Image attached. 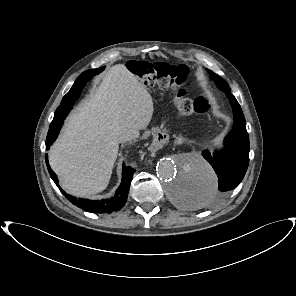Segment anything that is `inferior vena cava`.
Instances as JSON below:
<instances>
[{
    "mask_svg": "<svg viewBox=\"0 0 296 296\" xmlns=\"http://www.w3.org/2000/svg\"><path fill=\"white\" fill-rule=\"evenodd\" d=\"M137 136H138V133L135 131L124 133L119 137L118 141L119 142H127V141H130V140L136 138Z\"/></svg>",
    "mask_w": 296,
    "mask_h": 296,
    "instance_id": "inferior-vena-cava-1",
    "label": "inferior vena cava"
}]
</instances>
